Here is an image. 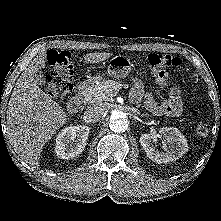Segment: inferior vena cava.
<instances>
[{"label": "inferior vena cava", "instance_id": "1", "mask_svg": "<svg viewBox=\"0 0 221 221\" xmlns=\"http://www.w3.org/2000/svg\"><path fill=\"white\" fill-rule=\"evenodd\" d=\"M107 107L105 104H96L88 106L84 113V120L86 122L96 123L106 114Z\"/></svg>", "mask_w": 221, "mask_h": 221}]
</instances>
